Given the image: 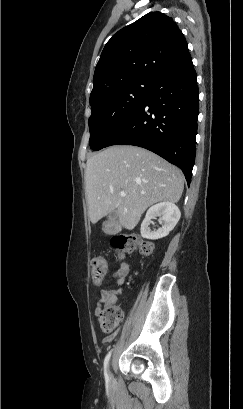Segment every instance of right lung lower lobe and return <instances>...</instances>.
Wrapping results in <instances>:
<instances>
[{
	"instance_id": "obj_1",
	"label": "right lung lower lobe",
	"mask_w": 243,
	"mask_h": 409,
	"mask_svg": "<svg viewBox=\"0 0 243 409\" xmlns=\"http://www.w3.org/2000/svg\"><path fill=\"white\" fill-rule=\"evenodd\" d=\"M197 75L187 50L157 80L140 107L108 141L146 148L177 165L191 182L195 161Z\"/></svg>"
}]
</instances>
